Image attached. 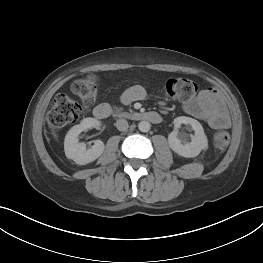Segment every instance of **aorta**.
Instances as JSON below:
<instances>
[{"label": "aorta", "mask_w": 263, "mask_h": 263, "mask_svg": "<svg viewBox=\"0 0 263 263\" xmlns=\"http://www.w3.org/2000/svg\"><path fill=\"white\" fill-rule=\"evenodd\" d=\"M151 128V124L148 121H141L138 124V129L141 132H148Z\"/></svg>", "instance_id": "762f6f07"}]
</instances>
